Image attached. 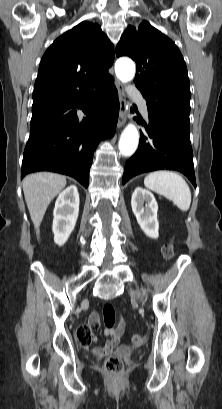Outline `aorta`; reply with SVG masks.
<instances>
[{
    "label": "aorta",
    "instance_id": "obj_1",
    "mask_svg": "<svg viewBox=\"0 0 222 409\" xmlns=\"http://www.w3.org/2000/svg\"><path fill=\"white\" fill-rule=\"evenodd\" d=\"M116 76L122 82H129L135 75V64L127 58H120L115 63ZM139 133L134 124H128L123 130L119 140V151L124 157L133 155L138 147Z\"/></svg>",
    "mask_w": 222,
    "mask_h": 409
}]
</instances>
